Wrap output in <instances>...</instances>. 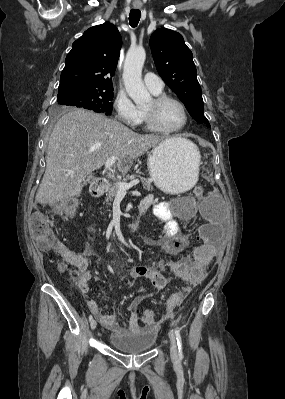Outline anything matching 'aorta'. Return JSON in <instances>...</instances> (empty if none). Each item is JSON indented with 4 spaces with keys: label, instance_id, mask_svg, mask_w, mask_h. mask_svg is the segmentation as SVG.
I'll use <instances>...</instances> for the list:
<instances>
[{
    "label": "aorta",
    "instance_id": "obj_1",
    "mask_svg": "<svg viewBox=\"0 0 285 399\" xmlns=\"http://www.w3.org/2000/svg\"><path fill=\"white\" fill-rule=\"evenodd\" d=\"M145 58L144 48H131L127 52L124 63V85L128 95L137 106H143L151 100V96L142 81V68Z\"/></svg>",
    "mask_w": 285,
    "mask_h": 399
}]
</instances>
